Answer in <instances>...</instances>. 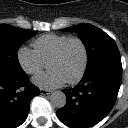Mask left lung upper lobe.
Returning <instances> with one entry per match:
<instances>
[{
  "mask_svg": "<svg viewBox=\"0 0 128 128\" xmlns=\"http://www.w3.org/2000/svg\"><path fill=\"white\" fill-rule=\"evenodd\" d=\"M63 31L77 32L85 44L88 57L87 68L105 58H120V53L115 41L96 26L89 23H81L76 26L65 28Z\"/></svg>",
  "mask_w": 128,
  "mask_h": 128,
  "instance_id": "1",
  "label": "left lung upper lobe"
}]
</instances>
